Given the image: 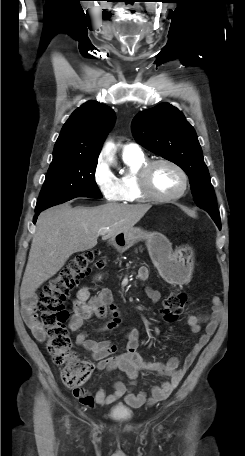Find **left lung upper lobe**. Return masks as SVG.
I'll list each match as a JSON object with an SVG mask.
<instances>
[{"instance_id":"left-lung-upper-lobe-1","label":"left lung upper lobe","mask_w":245,"mask_h":456,"mask_svg":"<svg viewBox=\"0 0 245 456\" xmlns=\"http://www.w3.org/2000/svg\"><path fill=\"white\" fill-rule=\"evenodd\" d=\"M136 141L149 151L172 161L189 177L194 200L220 222L215 192L193 127L168 103L139 112L132 121Z\"/></svg>"}]
</instances>
